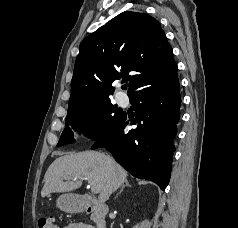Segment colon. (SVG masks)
<instances>
[{
  "mask_svg": "<svg viewBox=\"0 0 238 228\" xmlns=\"http://www.w3.org/2000/svg\"><path fill=\"white\" fill-rule=\"evenodd\" d=\"M38 228H58L48 217H41L38 220Z\"/></svg>",
  "mask_w": 238,
  "mask_h": 228,
  "instance_id": "obj_1",
  "label": "colon"
}]
</instances>
